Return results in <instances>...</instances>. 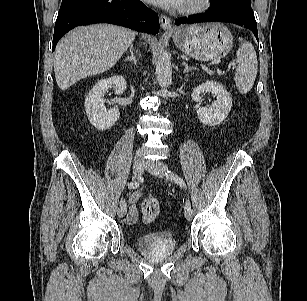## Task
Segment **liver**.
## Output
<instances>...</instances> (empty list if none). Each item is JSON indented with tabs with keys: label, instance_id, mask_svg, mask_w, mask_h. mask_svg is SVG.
Listing matches in <instances>:
<instances>
[{
	"label": "liver",
	"instance_id": "obj_1",
	"mask_svg": "<svg viewBox=\"0 0 307 301\" xmlns=\"http://www.w3.org/2000/svg\"><path fill=\"white\" fill-rule=\"evenodd\" d=\"M131 29L111 24L78 27L54 51L58 87L65 91L77 81L109 70L135 39Z\"/></svg>",
	"mask_w": 307,
	"mask_h": 301
}]
</instances>
